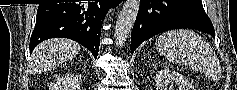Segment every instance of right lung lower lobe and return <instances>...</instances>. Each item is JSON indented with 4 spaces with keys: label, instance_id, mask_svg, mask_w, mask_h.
Returning <instances> with one entry per match:
<instances>
[{
    "label": "right lung lower lobe",
    "instance_id": "right-lung-lower-lobe-1",
    "mask_svg": "<svg viewBox=\"0 0 237 90\" xmlns=\"http://www.w3.org/2000/svg\"><path fill=\"white\" fill-rule=\"evenodd\" d=\"M120 0L40 4L30 39V53L40 42L56 37L75 40L97 58L101 25L110 6Z\"/></svg>",
    "mask_w": 237,
    "mask_h": 90
}]
</instances>
